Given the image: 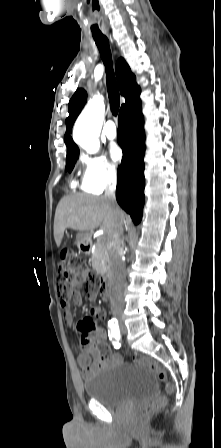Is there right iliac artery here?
I'll use <instances>...</instances> for the list:
<instances>
[{
	"label": "right iliac artery",
	"instance_id": "obj_1",
	"mask_svg": "<svg viewBox=\"0 0 221 448\" xmlns=\"http://www.w3.org/2000/svg\"><path fill=\"white\" fill-rule=\"evenodd\" d=\"M108 325H109V328H110V330H109V337H110V339H111V336H112L115 339L119 340L121 335H120V329H119L118 321L116 319H112V320L109 321Z\"/></svg>",
	"mask_w": 221,
	"mask_h": 448
}]
</instances>
